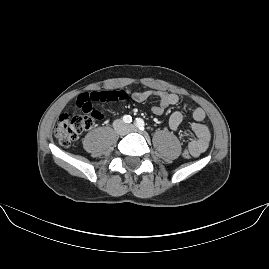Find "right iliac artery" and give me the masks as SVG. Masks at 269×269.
<instances>
[{
	"label": "right iliac artery",
	"mask_w": 269,
	"mask_h": 269,
	"mask_svg": "<svg viewBox=\"0 0 269 269\" xmlns=\"http://www.w3.org/2000/svg\"><path fill=\"white\" fill-rule=\"evenodd\" d=\"M123 121H124L125 123H130V122H132V117H131L130 115H125V116L123 117Z\"/></svg>",
	"instance_id": "1"
}]
</instances>
